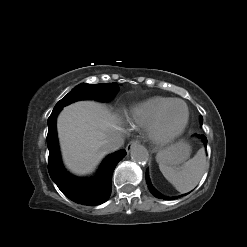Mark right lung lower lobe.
<instances>
[{"label":"right lung lower lobe","mask_w":247,"mask_h":247,"mask_svg":"<svg viewBox=\"0 0 247 247\" xmlns=\"http://www.w3.org/2000/svg\"><path fill=\"white\" fill-rule=\"evenodd\" d=\"M62 107H54L48 118L47 145L49 149L48 171L51 179L70 200L83 205H99L106 202L112 190V174L117 163L126 155L119 150L102 163L94 179H80L69 174L63 167L58 147L56 117Z\"/></svg>","instance_id":"right-lung-lower-lobe-1"}]
</instances>
